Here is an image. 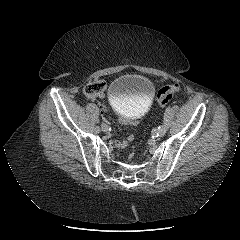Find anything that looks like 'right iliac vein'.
I'll use <instances>...</instances> for the list:
<instances>
[{
  "label": "right iliac vein",
  "mask_w": 240,
  "mask_h": 240,
  "mask_svg": "<svg viewBox=\"0 0 240 240\" xmlns=\"http://www.w3.org/2000/svg\"><path fill=\"white\" fill-rule=\"evenodd\" d=\"M101 129L106 132L108 130V126L106 124H102Z\"/></svg>",
  "instance_id": "obj_1"
}]
</instances>
